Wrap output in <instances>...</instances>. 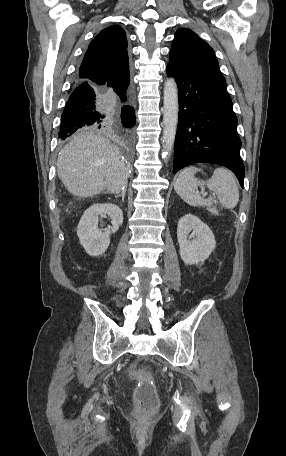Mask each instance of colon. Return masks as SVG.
Wrapping results in <instances>:
<instances>
[{
    "label": "colon",
    "instance_id": "colon-1",
    "mask_svg": "<svg viewBox=\"0 0 286 456\" xmlns=\"http://www.w3.org/2000/svg\"><path fill=\"white\" fill-rule=\"evenodd\" d=\"M132 377L137 381L135 390L136 411L139 413L150 411L157 406L158 398L152 376L131 369Z\"/></svg>",
    "mask_w": 286,
    "mask_h": 456
}]
</instances>
